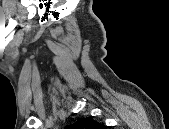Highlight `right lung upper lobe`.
<instances>
[{
	"instance_id": "right-lung-upper-lobe-1",
	"label": "right lung upper lobe",
	"mask_w": 169,
	"mask_h": 129,
	"mask_svg": "<svg viewBox=\"0 0 169 129\" xmlns=\"http://www.w3.org/2000/svg\"><path fill=\"white\" fill-rule=\"evenodd\" d=\"M104 127L92 118H81L75 124L67 126L70 129H104Z\"/></svg>"
}]
</instances>
